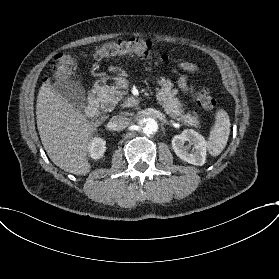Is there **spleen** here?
Returning a JSON list of instances; mask_svg holds the SVG:
<instances>
[{
	"mask_svg": "<svg viewBox=\"0 0 279 279\" xmlns=\"http://www.w3.org/2000/svg\"><path fill=\"white\" fill-rule=\"evenodd\" d=\"M230 119L224 110L215 113V124L207 141V151L212 157L219 156L225 149L230 135Z\"/></svg>",
	"mask_w": 279,
	"mask_h": 279,
	"instance_id": "1",
	"label": "spleen"
}]
</instances>
